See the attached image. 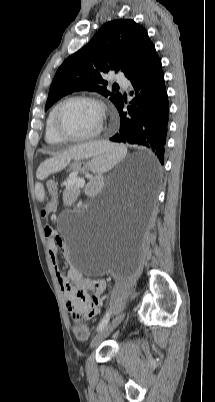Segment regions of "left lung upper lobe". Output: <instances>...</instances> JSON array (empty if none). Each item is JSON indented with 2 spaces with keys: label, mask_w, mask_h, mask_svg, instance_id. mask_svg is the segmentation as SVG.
I'll return each mask as SVG.
<instances>
[{
  "label": "left lung upper lobe",
  "mask_w": 215,
  "mask_h": 402,
  "mask_svg": "<svg viewBox=\"0 0 215 402\" xmlns=\"http://www.w3.org/2000/svg\"><path fill=\"white\" fill-rule=\"evenodd\" d=\"M158 57L144 27L131 19L105 23L79 51L68 57L57 70L51 84L45 110L63 96L75 91H95L116 106L120 93L107 90L102 76L122 71L129 78Z\"/></svg>",
  "instance_id": "left-lung-upper-lobe-1"
}]
</instances>
